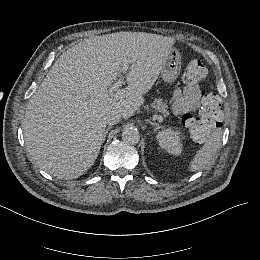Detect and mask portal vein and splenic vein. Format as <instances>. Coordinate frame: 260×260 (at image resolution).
I'll return each instance as SVG.
<instances>
[{"mask_svg": "<svg viewBox=\"0 0 260 260\" xmlns=\"http://www.w3.org/2000/svg\"><path fill=\"white\" fill-rule=\"evenodd\" d=\"M129 64H130V61L125 60V62L123 63V66L121 68V74L119 75V79L112 85V87L109 89V92H114L119 87H121L123 84H125L124 79H125V76L128 74ZM155 120L159 121L160 124L164 123L163 117L161 115L156 116Z\"/></svg>", "mask_w": 260, "mask_h": 260, "instance_id": "portal-vein-and-splenic-vein-1", "label": "portal vein and splenic vein"}]
</instances>
